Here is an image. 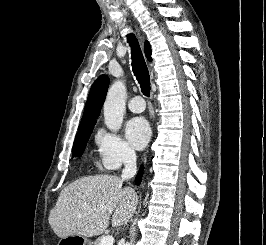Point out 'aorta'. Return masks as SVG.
<instances>
[{"label":"aorta","mask_w":266,"mask_h":245,"mask_svg":"<svg viewBox=\"0 0 266 245\" xmlns=\"http://www.w3.org/2000/svg\"><path fill=\"white\" fill-rule=\"evenodd\" d=\"M126 96V86L123 80H115L103 104L105 125L110 131H119L122 127Z\"/></svg>","instance_id":"aorta-1"}]
</instances>
